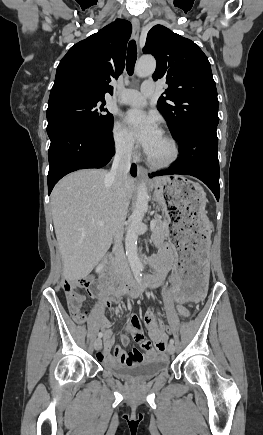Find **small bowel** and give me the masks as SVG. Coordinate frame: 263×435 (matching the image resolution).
Instances as JSON below:
<instances>
[{
    "mask_svg": "<svg viewBox=\"0 0 263 435\" xmlns=\"http://www.w3.org/2000/svg\"><path fill=\"white\" fill-rule=\"evenodd\" d=\"M155 243L159 245L160 251L153 259L156 267V274L152 280L153 284L160 283L168 277L167 272L169 269L166 265L168 262L173 261L175 255L174 248L163 243L160 237L155 238ZM93 287L96 290V286ZM111 303L110 300L105 301L107 306H110ZM177 310L182 317H188L189 312L184 305H178ZM84 321L85 318L82 322ZM143 323L148 328L153 343L144 336L142 322L135 314L131 316L129 326L118 335L112 334L111 323L107 318H99L97 327L103 335V349L98 354V359L104 363L135 364L156 356H163L168 348L166 342L168 334L165 332L162 321L152 311H148L144 315ZM128 335L140 345L145 353L140 352L138 349H132L130 352L124 350L123 347L128 346L130 343ZM117 337L120 338L122 346H114ZM112 348L113 353L111 352Z\"/></svg>",
    "mask_w": 263,
    "mask_h": 435,
    "instance_id": "c3829d8e",
    "label": "small bowel"
}]
</instances>
